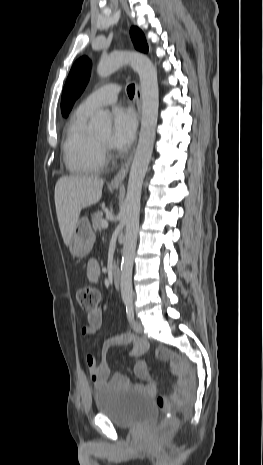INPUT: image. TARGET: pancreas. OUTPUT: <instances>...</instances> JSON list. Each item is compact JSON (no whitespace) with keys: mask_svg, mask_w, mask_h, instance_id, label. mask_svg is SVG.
<instances>
[{"mask_svg":"<svg viewBox=\"0 0 263 465\" xmlns=\"http://www.w3.org/2000/svg\"><path fill=\"white\" fill-rule=\"evenodd\" d=\"M104 220L103 217H102V213L101 212H95L92 214V217H91V221H92V227L94 230H101L102 226H101V221Z\"/></svg>","mask_w":263,"mask_h":465,"instance_id":"pancreas-1","label":"pancreas"}]
</instances>
